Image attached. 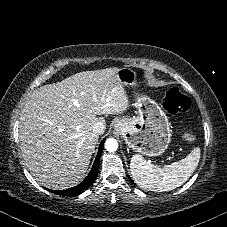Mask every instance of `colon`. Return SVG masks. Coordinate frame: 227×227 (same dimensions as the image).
<instances>
[{
  "instance_id": "obj_1",
  "label": "colon",
  "mask_w": 227,
  "mask_h": 227,
  "mask_svg": "<svg viewBox=\"0 0 227 227\" xmlns=\"http://www.w3.org/2000/svg\"><path fill=\"white\" fill-rule=\"evenodd\" d=\"M189 106V99L178 88H171L167 91L164 98V107L169 113L185 112L189 109ZM183 139L193 141L194 134L191 131H185L183 133Z\"/></svg>"
}]
</instances>
